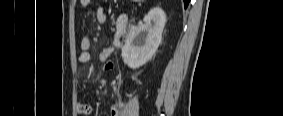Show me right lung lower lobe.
I'll return each mask as SVG.
<instances>
[{
    "mask_svg": "<svg viewBox=\"0 0 283 116\" xmlns=\"http://www.w3.org/2000/svg\"><path fill=\"white\" fill-rule=\"evenodd\" d=\"M190 0H184V6L185 8L188 6Z\"/></svg>",
    "mask_w": 283,
    "mask_h": 116,
    "instance_id": "1",
    "label": "right lung lower lobe"
}]
</instances>
